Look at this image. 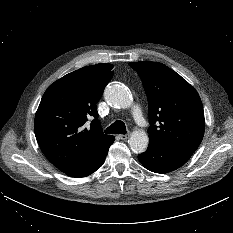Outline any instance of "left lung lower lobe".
<instances>
[{"label":"left lung lower lobe","instance_id":"0a47b994","mask_svg":"<svg viewBox=\"0 0 233 233\" xmlns=\"http://www.w3.org/2000/svg\"><path fill=\"white\" fill-rule=\"evenodd\" d=\"M193 152L182 149L162 148L149 144L146 152L138 155L141 164L155 173H167L184 165Z\"/></svg>","mask_w":233,"mask_h":233}]
</instances>
